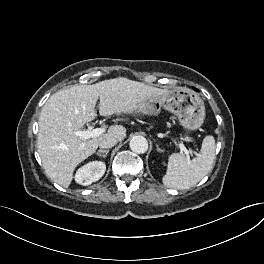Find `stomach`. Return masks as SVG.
<instances>
[{
	"mask_svg": "<svg viewBox=\"0 0 264 264\" xmlns=\"http://www.w3.org/2000/svg\"><path fill=\"white\" fill-rule=\"evenodd\" d=\"M161 108L175 114L186 130L198 129L204 122V102L199 95L188 89L176 88L165 96L147 98L142 113L156 115Z\"/></svg>",
	"mask_w": 264,
	"mask_h": 264,
	"instance_id": "1",
	"label": "stomach"
}]
</instances>
